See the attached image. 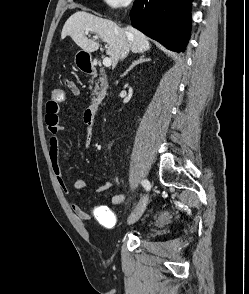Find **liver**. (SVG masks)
<instances>
[{
  "label": "liver",
  "mask_w": 249,
  "mask_h": 294,
  "mask_svg": "<svg viewBox=\"0 0 249 294\" xmlns=\"http://www.w3.org/2000/svg\"><path fill=\"white\" fill-rule=\"evenodd\" d=\"M86 32H93L108 44L106 53L115 67L120 59L123 47L130 45L133 53H143L150 49L148 38L131 26L121 28L114 22L97 17L86 11H78L65 22L61 38L70 36L72 40L85 52L97 51L99 43L88 39Z\"/></svg>",
  "instance_id": "liver-1"
}]
</instances>
